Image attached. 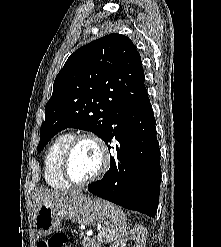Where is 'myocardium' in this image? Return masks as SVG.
Instances as JSON below:
<instances>
[{
  "label": "myocardium",
  "mask_w": 221,
  "mask_h": 247,
  "mask_svg": "<svg viewBox=\"0 0 221 247\" xmlns=\"http://www.w3.org/2000/svg\"><path fill=\"white\" fill-rule=\"evenodd\" d=\"M84 140L91 141L97 146L99 153H100V157H101V163H100L99 169L94 175H92L86 180L76 181L72 178L70 174L69 164H70V159H71V156H72V153L75 147L81 141H84ZM110 162H111V154H110V150L106 142L96 133L85 131V132H81L75 135L71 139L70 143L68 144L63 154L62 161H61V174L70 185L85 186L103 177L110 166Z\"/></svg>",
  "instance_id": "f54148a6"
}]
</instances>
